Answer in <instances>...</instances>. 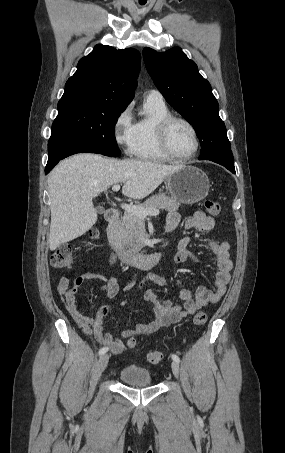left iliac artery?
Listing matches in <instances>:
<instances>
[{
  "instance_id": "44dca946",
  "label": "left iliac artery",
  "mask_w": 285,
  "mask_h": 453,
  "mask_svg": "<svg viewBox=\"0 0 285 453\" xmlns=\"http://www.w3.org/2000/svg\"><path fill=\"white\" fill-rule=\"evenodd\" d=\"M171 357L174 361H176L178 363L180 362V358L176 354H172Z\"/></svg>"
}]
</instances>
